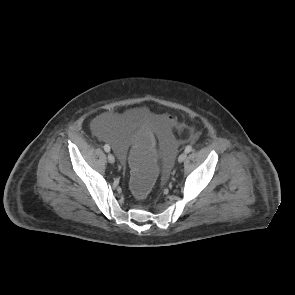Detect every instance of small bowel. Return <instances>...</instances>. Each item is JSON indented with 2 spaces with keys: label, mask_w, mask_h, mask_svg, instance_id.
Wrapping results in <instances>:
<instances>
[{
  "label": "small bowel",
  "mask_w": 295,
  "mask_h": 295,
  "mask_svg": "<svg viewBox=\"0 0 295 295\" xmlns=\"http://www.w3.org/2000/svg\"><path fill=\"white\" fill-rule=\"evenodd\" d=\"M134 113H147L146 111H142V112H131L130 114H134ZM148 114V113H147ZM129 115V114H128ZM170 124L173 123V119L172 120H168Z\"/></svg>",
  "instance_id": "small-bowel-1"
}]
</instances>
